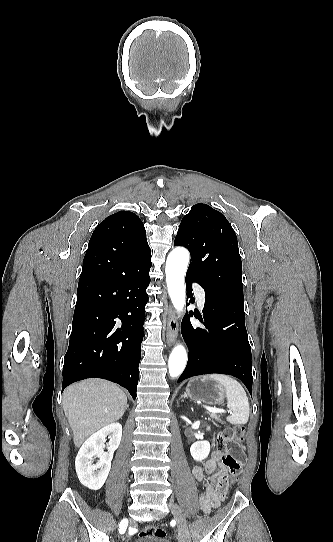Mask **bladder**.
Masks as SVG:
<instances>
[{
	"label": "bladder",
	"instance_id": "1",
	"mask_svg": "<svg viewBox=\"0 0 333 542\" xmlns=\"http://www.w3.org/2000/svg\"><path fill=\"white\" fill-rule=\"evenodd\" d=\"M133 542H172V541L160 535H154V536L137 539V540H134Z\"/></svg>",
	"mask_w": 333,
	"mask_h": 542
}]
</instances>
